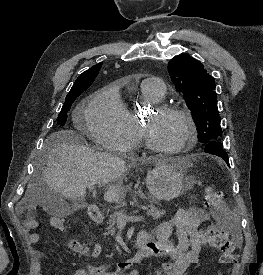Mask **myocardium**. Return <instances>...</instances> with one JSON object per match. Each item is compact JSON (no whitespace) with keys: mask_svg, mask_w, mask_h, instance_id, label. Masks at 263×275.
<instances>
[{"mask_svg":"<svg viewBox=\"0 0 263 275\" xmlns=\"http://www.w3.org/2000/svg\"><path fill=\"white\" fill-rule=\"evenodd\" d=\"M153 112L156 114H173V115L180 116L185 120L188 126V134L185 140L183 141V143L177 148H174V149L161 148L152 141V139L148 134L145 122L142 121L139 123L140 136H141V140L143 141L147 149L159 155L173 156L194 147L197 141L198 131H197L196 122L192 114L188 110L175 105H157V106H154Z\"/></svg>","mask_w":263,"mask_h":275,"instance_id":"1","label":"myocardium"}]
</instances>
